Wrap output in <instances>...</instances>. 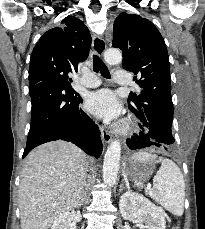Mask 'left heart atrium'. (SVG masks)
<instances>
[{
  "instance_id": "1",
  "label": "left heart atrium",
  "mask_w": 205,
  "mask_h": 229,
  "mask_svg": "<svg viewBox=\"0 0 205 229\" xmlns=\"http://www.w3.org/2000/svg\"><path fill=\"white\" fill-rule=\"evenodd\" d=\"M85 106L90 113L107 120L116 119L121 111L116 95L108 89L90 93Z\"/></svg>"
}]
</instances>
